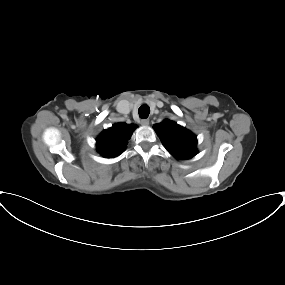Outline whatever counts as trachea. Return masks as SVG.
Masks as SVG:
<instances>
[{
  "label": "trachea",
  "mask_w": 285,
  "mask_h": 285,
  "mask_svg": "<svg viewBox=\"0 0 285 285\" xmlns=\"http://www.w3.org/2000/svg\"><path fill=\"white\" fill-rule=\"evenodd\" d=\"M138 113H139V117L142 119H145L148 117L149 113H150V108L148 105L143 104L139 107L138 109Z\"/></svg>",
  "instance_id": "1"
}]
</instances>
